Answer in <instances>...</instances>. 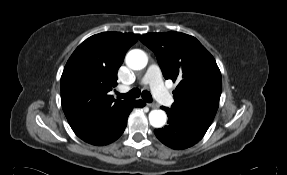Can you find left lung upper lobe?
Segmentation results:
<instances>
[{
  "mask_svg": "<svg viewBox=\"0 0 287 175\" xmlns=\"http://www.w3.org/2000/svg\"><path fill=\"white\" fill-rule=\"evenodd\" d=\"M140 41L156 55L165 79L180 81L167 111L205 134L219 106L221 73L213 56L193 36L170 31L144 34Z\"/></svg>",
  "mask_w": 287,
  "mask_h": 175,
  "instance_id": "left-lung-upper-lobe-1",
  "label": "left lung upper lobe"
}]
</instances>
